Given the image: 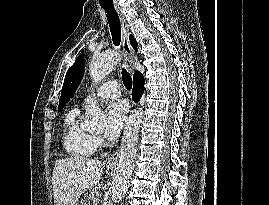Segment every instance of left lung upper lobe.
<instances>
[{
    "mask_svg": "<svg viewBox=\"0 0 269 205\" xmlns=\"http://www.w3.org/2000/svg\"><path fill=\"white\" fill-rule=\"evenodd\" d=\"M84 74V57L80 55L74 65L69 68L66 73L64 85L61 91V97L58 107V112L61 111L63 106L70 100L77 90Z\"/></svg>",
    "mask_w": 269,
    "mask_h": 205,
    "instance_id": "1",
    "label": "left lung upper lobe"
}]
</instances>
